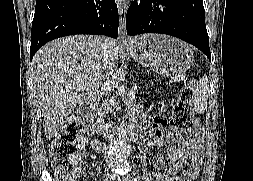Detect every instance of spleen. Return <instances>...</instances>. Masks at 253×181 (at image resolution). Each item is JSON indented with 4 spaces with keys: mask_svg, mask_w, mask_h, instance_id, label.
I'll return each instance as SVG.
<instances>
[{
    "mask_svg": "<svg viewBox=\"0 0 253 181\" xmlns=\"http://www.w3.org/2000/svg\"><path fill=\"white\" fill-rule=\"evenodd\" d=\"M209 83L207 78L200 79L193 92L194 109L198 113H203L207 107Z\"/></svg>",
    "mask_w": 253,
    "mask_h": 181,
    "instance_id": "3e777b00",
    "label": "spleen"
}]
</instances>
